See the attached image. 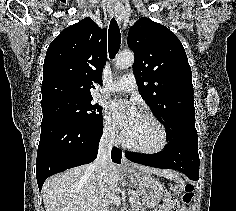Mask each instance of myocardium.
<instances>
[{
	"instance_id": "f54148a6",
	"label": "myocardium",
	"mask_w": 236,
	"mask_h": 211,
	"mask_svg": "<svg viewBox=\"0 0 236 211\" xmlns=\"http://www.w3.org/2000/svg\"><path fill=\"white\" fill-rule=\"evenodd\" d=\"M141 115L148 118V119H150L159 128L160 133H161V142H160L159 146L155 149L139 148V147H136V146L130 144L129 142H127V140L125 139L124 136H123V139H122L123 146L126 147L127 149L131 150V151L141 153V154L154 155V154L162 153L168 146V134H167V130H166L164 124L155 115H153L150 112L143 111L141 113Z\"/></svg>"
}]
</instances>
